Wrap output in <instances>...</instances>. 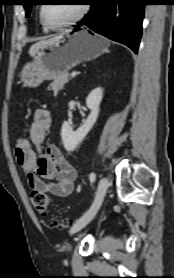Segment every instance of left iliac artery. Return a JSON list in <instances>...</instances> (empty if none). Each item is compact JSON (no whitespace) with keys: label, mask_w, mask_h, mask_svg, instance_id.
I'll return each mask as SVG.
<instances>
[{"label":"left iliac artery","mask_w":174,"mask_h":278,"mask_svg":"<svg viewBox=\"0 0 174 278\" xmlns=\"http://www.w3.org/2000/svg\"><path fill=\"white\" fill-rule=\"evenodd\" d=\"M90 181L93 183L96 179V174L95 173H91L89 176Z\"/></svg>","instance_id":"1"}]
</instances>
